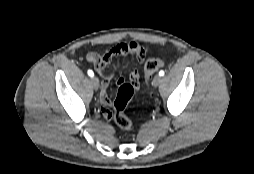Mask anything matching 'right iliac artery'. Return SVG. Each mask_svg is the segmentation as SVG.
I'll list each match as a JSON object with an SVG mask.
<instances>
[{
	"label": "right iliac artery",
	"instance_id": "obj_1",
	"mask_svg": "<svg viewBox=\"0 0 254 174\" xmlns=\"http://www.w3.org/2000/svg\"><path fill=\"white\" fill-rule=\"evenodd\" d=\"M88 75H89L90 77H93V76H94L93 71H92V70H88Z\"/></svg>",
	"mask_w": 254,
	"mask_h": 174
}]
</instances>
